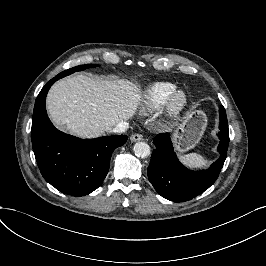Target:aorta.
<instances>
[{"mask_svg":"<svg viewBox=\"0 0 266 266\" xmlns=\"http://www.w3.org/2000/svg\"><path fill=\"white\" fill-rule=\"evenodd\" d=\"M133 151L137 157L142 159L149 157L151 154L150 146L145 142H138L135 144Z\"/></svg>","mask_w":266,"mask_h":266,"instance_id":"aorta-1","label":"aorta"}]
</instances>
